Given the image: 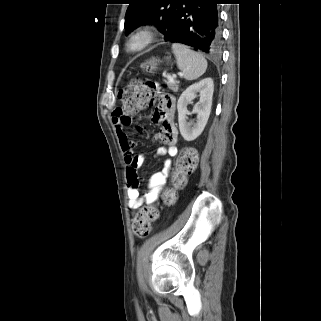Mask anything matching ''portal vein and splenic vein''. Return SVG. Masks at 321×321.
<instances>
[{
  "mask_svg": "<svg viewBox=\"0 0 321 321\" xmlns=\"http://www.w3.org/2000/svg\"><path fill=\"white\" fill-rule=\"evenodd\" d=\"M179 75H181V74L179 73ZM166 78H167L168 80L173 81V77H172L171 75H169V74L166 75Z\"/></svg>",
  "mask_w": 321,
  "mask_h": 321,
  "instance_id": "18ae733b",
  "label": "portal vein and splenic vein"
}]
</instances>
